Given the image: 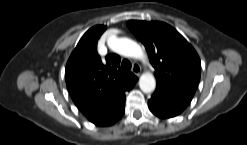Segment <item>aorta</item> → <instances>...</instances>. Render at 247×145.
Returning a JSON list of instances; mask_svg holds the SVG:
<instances>
[{
    "label": "aorta",
    "instance_id": "obj_1",
    "mask_svg": "<svg viewBox=\"0 0 247 145\" xmlns=\"http://www.w3.org/2000/svg\"><path fill=\"white\" fill-rule=\"evenodd\" d=\"M108 46L116 53L126 57L144 58L142 48L135 41L128 38H110ZM140 89L144 93L152 92L156 87V80L153 74L146 72L139 79Z\"/></svg>",
    "mask_w": 247,
    "mask_h": 145
}]
</instances>
